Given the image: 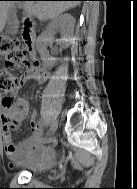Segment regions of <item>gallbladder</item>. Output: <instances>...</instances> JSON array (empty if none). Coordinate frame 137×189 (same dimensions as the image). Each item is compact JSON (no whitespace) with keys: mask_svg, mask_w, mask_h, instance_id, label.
I'll return each instance as SVG.
<instances>
[{"mask_svg":"<svg viewBox=\"0 0 137 189\" xmlns=\"http://www.w3.org/2000/svg\"><path fill=\"white\" fill-rule=\"evenodd\" d=\"M22 7H23V4L18 3V4H15L13 7H11L8 10L7 26H6V32L8 34L13 35V34L17 33L19 21H18L17 15H16V10H17V8H22Z\"/></svg>","mask_w":137,"mask_h":189,"instance_id":"1","label":"gallbladder"}]
</instances>
